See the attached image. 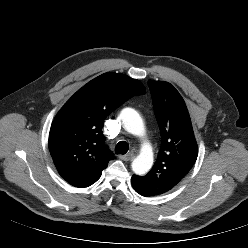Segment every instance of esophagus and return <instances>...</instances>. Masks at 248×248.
Wrapping results in <instances>:
<instances>
[{
  "instance_id": "1",
  "label": "esophagus",
  "mask_w": 248,
  "mask_h": 248,
  "mask_svg": "<svg viewBox=\"0 0 248 248\" xmlns=\"http://www.w3.org/2000/svg\"><path fill=\"white\" fill-rule=\"evenodd\" d=\"M134 157H135V155H134V153H132V152H130V153L126 154V155H121V156H119V158H120L121 160H124V161H130V160H132Z\"/></svg>"
}]
</instances>
